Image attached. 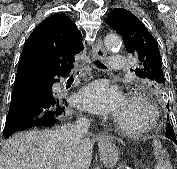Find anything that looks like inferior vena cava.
Listing matches in <instances>:
<instances>
[{"mask_svg": "<svg viewBox=\"0 0 177 169\" xmlns=\"http://www.w3.org/2000/svg\"><path fill=\"white\" fill-rule=\"evenodd\" d=\"M90 121L86 118H80L75 124L64 126L60 133L63 140V149L66 160L71 161L74 150L88 132ZM66 169H77L75 164L65 167Z\"/></svg>", "mask_w": 177, "mask_h": 169, "instance_id": "obj_1", "label": "inferior vena cava"}]
</instances>
